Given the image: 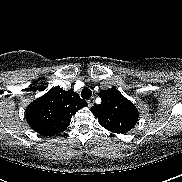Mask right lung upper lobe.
<instances>
[{
	"label": "right lung upper lobe",
	"instance_id": "cb5924a9",
	"mask_svg": "<svg viewBox=\"0 0 182 182\" xmlns=\"http://www.w3.org/2000/svg\"><path fill=\"white\" fill-rule=\"evenodd\" d=\"M85 106L87 102L78 93L54 87L27 106L26 121L42 136L58 134L67 129L72 115Z\"/></svg>",
	"mask_w": 182,
	"mask_h": 182
}]
</instances>
